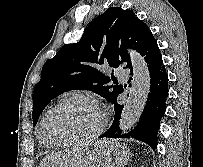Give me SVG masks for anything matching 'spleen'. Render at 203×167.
<instances>
[{
  "label": "spleen",
  "instance_id": "spleen-1",
  "mask_svg": "<svg viewBox=\"0 0 203 167\" xmlns=\"http://www.w3.org/2000/svg\"><path fill=\"white\" fill-rule=\"evenodd\" d=\"M121 148H122L123 152H124V149H126L125 147H121ZM127 161H128V159L127 160H119L122 167L127 163Z\"/></svg>",
  "mask_w": 203,
  "mask_h": 167
}]
</instances>
